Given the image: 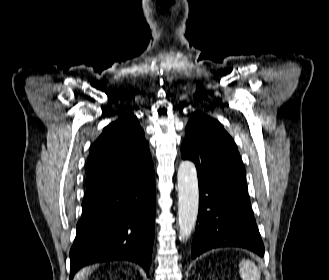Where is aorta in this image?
I'll list each match as a JSON object with an SVG mask.
<instances>
[{
	"mask_svg": "<svg viewBox=\"0 0 329 280\" xmlns=\"http://www.w3.org/2000/svg\"><path fill=\"white\" fill-rule=\"evenodd\" d=\"M178 225L179 239H188L195 227L198 206V177L192 161H182L178 168Z\"/></svg>",
	"mask_w": 329,
	"mask_h": 280,
	"instance_id": "obj_1",
	"label": "aorta"
}]
</instances>
